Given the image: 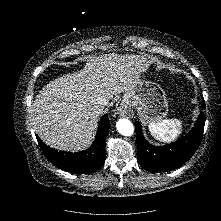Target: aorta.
Returning a JSON list of instances; mask_svg holds the SVG:
<instances>
[{"mask_svg": "<svg viewBox=\"0 0 221 221\" xmlns=\"http://www.w3.org/2000/svg\"><path fill=\"white\" fill-rule=\"evenodd\" d=\"M117 131L124 136H131L134 133V126L128 119H119L116 123Z\"/></svg>", "mask_w": 221, "mask_h": 221, "instance_id": "obj_1", "label": "aorta"}]
</instances>
